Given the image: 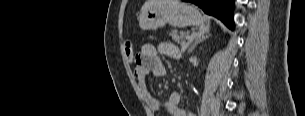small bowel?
Wrapping results in <instances>:
<instances>
[{"mask_svg": "<svg viewBox=\"0 0 305 116\" xmlns=\"http://www.w3.org/2000/svg\"><path fill=\"white\" fill-rule=\"evenodd\" d=\"M159 54L171 57H178V49L168 43H161L158 46L146 44L142 47L137 57V65L134 69V77L143 100L152 113L164 111L171 116H194V114L184 106L181 94L174 92L167 101H160L155 98L147 89L146 77L149 74L155 77H162L166 68L161 61Z\"/></svg>", "mask_w": 305, "mask_h": 116, "instance_id": "small-bowel-1", "label": "small bowel"}]
</instances>
